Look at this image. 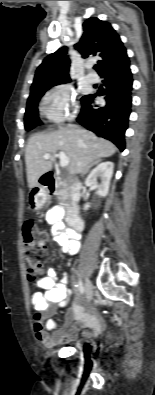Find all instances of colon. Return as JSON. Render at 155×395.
Instances as JSON below:
<instances>
[{"label":"colon","mask_w":155,"mask_h":395,"mask_svg":"<svg viewBox=\"0 0 155 395\" xmlns=\"http://www.w3.org/2000/svg\"><path fill=\"white\" fill-rule=\"evenodd\" d=\"M24 257L27 263V278L33 283L40 279L42 266L47 260L46 244L49 236L39 230L32 221H27L22 229Z\"/></svg>","instance_id":"1"}]
</instances>
